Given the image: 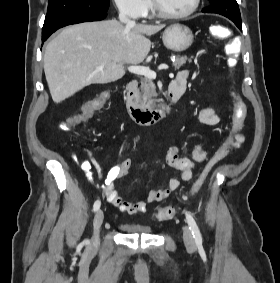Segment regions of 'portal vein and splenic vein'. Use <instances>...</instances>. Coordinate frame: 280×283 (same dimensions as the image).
Wrapping results in <instances>:
<instances>
[{
  "mask_svg": "<svg viewBox=\"0 0 280 283\" xmlns=\"http://www.w3.org/2000/svg\"><path fill=\"white\" fill-rule=\"evenodd\" d=\"M104 65H102L103 67ZM169 66L166 64H161L158 69L162 70V69H168ZM128 70L136 75H142L145 76L148 79H155L156 78V72L151 70L149 67H145V66H138V65H132L128 67Z\"/></svg>",
  "mask_w": 280,
  "mask_h": 283,
  "instance_id": "obj_1",
  "label": "portal vein and splenic vein"
}]
</instances>
